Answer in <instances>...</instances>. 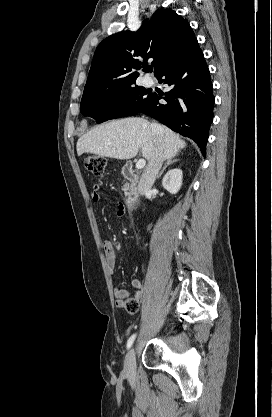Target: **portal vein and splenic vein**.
Here are the masks:
<instances>
[{
    "label": "portal vein and splenic vein",
    "mask_w": 272,
    "mask_h": 417,
    "mask_svg": "<svg viewBox=\"0 0 272 417\" xmlns=\"http://www.w3.org/2000/svg\"><path fill=\"white\" fill-rule=\"evenodd\" d=\"M146 165V161L145 159H139L136 163V168L137 169H143Z\"/></svg>",
    "instance_id": "portal-vein-and-splenic-vein-1"
}]
</instances>
